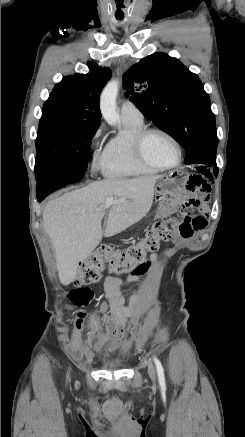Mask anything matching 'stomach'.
<instances>
[{
    "mask_svg": "<svg viewBox=\"0 0 245 437\" xmlns=\"http://www.w3.org/2000/svg\"><path fill=\"white\" fill-rule=\"evenodd\" d=\"M185 184L186 176L180 171L170 172L160 176L154 190V200L158 209L163 207L167 196L170 195L173 190L176 188H183Z\"/></svg>",
    "mask_w": 245,
    "mask_h": 437,
    "instance_id": "stomach-1",
    "label": "stomach"
}]
</instances>
